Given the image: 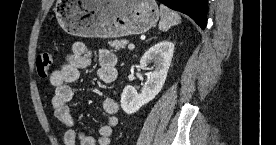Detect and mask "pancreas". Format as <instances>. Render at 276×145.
<instances>
[{"instance_id":"1","label":"pancreas","mask_w":276,"mask_h":145,"mask_svg":"<svg viewBox=\"0 0 276 145\" xmlns=\"http://www.w3.org/2000/svg\"><path fill=\"white\" fill-rule=\"evenodd\" d=\"M108 44L113 47L115 50L120 51L125 49L126 46V40H114L109 41Z\"/></svg>"}]
</instances>
